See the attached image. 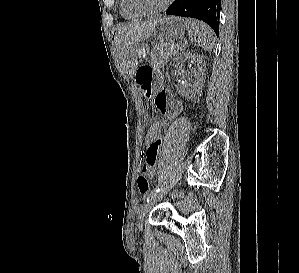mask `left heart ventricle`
<instances>
[{
    "label": "left heart ventricle",
    "instance_id": "left-heart-ventricle-1",
    "mask_svg": "<svg viewBox=\"0 0 299 273\" xmlns=\"http://www.w3.org/2000/svg\"><path fill=\"white\" fill-rule=\"evenodd\" d=\"M134 5L141 9L152 10L159 7L164 0H132Z\"/></svg>",
    "mask_w": 299,
    "mask_h": 273
}]
</instances>
